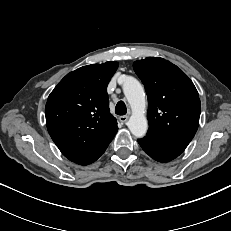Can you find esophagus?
<instances>
[{
    "label": "esophagus",
    "mask_w": 231,
    "mask_h": 231,
    "mask_svg": "<svg viewBox=\"0 0 231 231\" xmlns=\"http://www.w3.org/2000/svg\"><path fill=\"white\" fill-rule=\"evenodd\" d=\"M128 116L127 115H124V116H120L119 117V121L122 123V124H125L128 120Z\"/></svg>",
    "instance_id": "34e87169"
}]
</instances>
